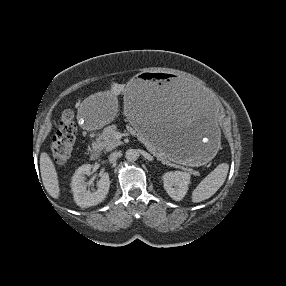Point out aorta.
Segmentation results:
<instances>
[{
    "instance_id": "762f6f07",
    "label": "aorta",
    "mask_w": 286,
    "mask_h": 286,
    "mask_svg": "<svg viewBox=\"0 0 286 286\" xmlns=\"http://www.w3.org/2000/svg\"><path fill=\"white\" fill-rule=\"evenodd\" d=\"M125 157L128 161H136L139 157V153L136 149H128L125 153Z\"/></svg>"
}]
</instances>
